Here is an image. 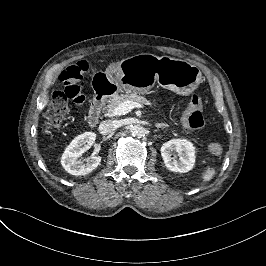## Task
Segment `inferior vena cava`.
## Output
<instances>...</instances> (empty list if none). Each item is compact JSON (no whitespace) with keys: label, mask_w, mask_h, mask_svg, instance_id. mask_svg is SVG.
I'll use <instances>...</instances> for the list:
<instances>
[{"label":"inferior vena cava","mask_w":266,"mask_h":266,"mask_svg":"<svg viewBox=\"0 0 266 266\" xmlns=\"http://www.w3.org/2000/svg\"><path fill=\"white\" fill-rule=\"evenodd\" d=\"M116 130V125L111 120L102 121L99 124L98 132L102 135H109Z\"/></svg>","instance_id":"1"}]
</instances>
